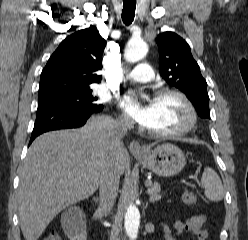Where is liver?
<instances>
[{
  "label": "liver",
  "instance_id": "6515ba94",
  "mask_svg": "<svg viewBox=\"0 0 248 240\" xmlns=\"http://www.w3.org/2000/svg\"><path fill=\"white\" fill-rule=\"evenodd\" d=\"M113 121L92 116L82 128L44 133L31 144L17 195L26 240H37L58 213L93 195L110 154L119 175L124 173L128 154L123 143L111 151L107 141Z\"/></svg>",
  "mask_w": 248,
  "mask_h": 240
}]
</instances>
